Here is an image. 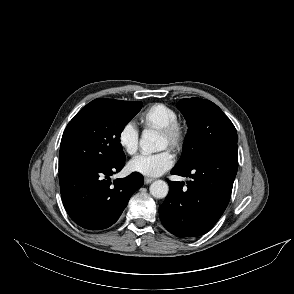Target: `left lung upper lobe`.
<instances>
[{
	"mask_svg": "<svg viewBox=\"0 0 294 294\" xmlns=\"http://www.w3.org/2000/svg\"><path fill=\"white\" fill-rule=\"evenodd\" d=\"M184 115L188 132L182 156L174 168L187 169L215 147L237 143L236 129L230 119L213 102L200 98H185L177 103Z\"/></svg>",
	"mask_w": 294,
	"mask_h": 294,
	"instance_id": "obj_1",
	"label": "left lung upper lobe"
}]
</instances>
